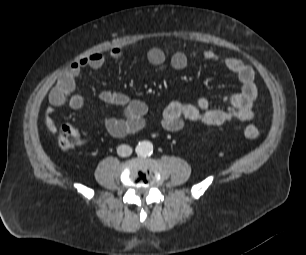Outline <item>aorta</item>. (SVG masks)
<instances>
[{"instance_id":"762f6f07","label":"aorta","mask_w":306,"mask_h":255,"mask_svg":"<svg viewBox=\"0 0 306 255\" xmlns=\"http://www.w3.org/2000/svg\"><path fill=\"white\" fill-rule=\"evenodd\" d=\"M138 156L147 157L153 153V144L150 141H141L135 149Z\"/></svg>"}]
</instances>
